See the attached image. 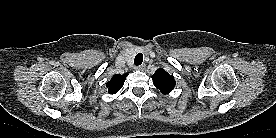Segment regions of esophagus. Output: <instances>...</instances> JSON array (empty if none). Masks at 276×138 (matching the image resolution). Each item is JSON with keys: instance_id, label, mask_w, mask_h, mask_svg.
<instances>
[{"instance_id": "1", "label": "esophagus", "mask_w": 276, "mask_h": 138, "mask_svg": "<svg viewBox=\"0 0 276 138\" xmlns=\"http://www.w3.org/2000/svg\"><path fill=\"white\" fill-rule=\"evenodd\" d=\"M145 67H146L145 64H142V65L138 66L137 69L140 71H144Z\"/></svg>"}]
</instances>
